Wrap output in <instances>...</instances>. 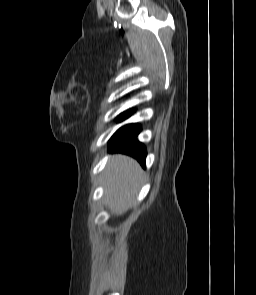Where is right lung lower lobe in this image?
I'll return each mask as SVG.
<instances>
[{"mask_svg": "<svg viewBox=\"0 0 256 295\" xmlns=\"http://www.w3.org/2000/svg\"><path fill=\"white\" fill-rule=\"evenodd\" d=\"M127 111L120 116V121L130 116ZM140 127L137 124H128L120 128L109 141V151L121 152L136 158L145 167L146 148L137 140Z\"/></svg>", "mask_w": 256, "mask_h": 295, "instance_id": "obj_1", "label": "right lung lower lobe"}]
</instances>
